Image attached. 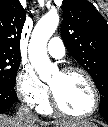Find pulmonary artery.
<instances>
[{"mask_svg":"<svg viewBox=\"0 0 108 127\" xmlns=\"http://www.w3.org/2000/svg\"><path fill=\"white\" fill-rule=\"evenodd\" d=\"M47 51L54 58H62L65 54V47L62 40L58 37H53L47 45Z\"/></svg>","mask_w":108,"mask_h":127,"instance_id":"obj_1","label":"pulmonary artery"}]
</instances>
